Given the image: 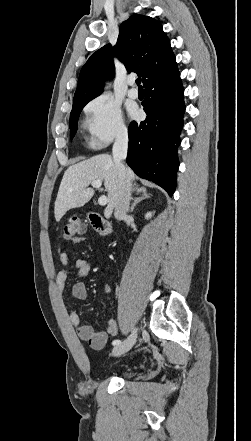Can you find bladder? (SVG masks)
<instances>
[{
  "label": "bladder",
  "mask_w": 251,
  "mask_h": 441,
  "mask_svg": "<svg viewBox=\"0 0 251 441\" xmlns=\"http://www.w3.org/2000/svg\"><path fill=\"white\" fill-rule=\"evenodd\" d=\"M131 374H132V372L130 371V370H120L119 372H118V375L119 376H122V377H129V376H131Z\"/></svg>",
  "instance_id": "obj_1"
}]
</instances>
